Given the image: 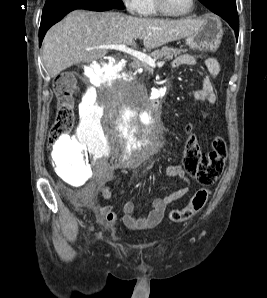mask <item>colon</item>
Returning <instances> with one entry per match:
<instances>
[{
    "mask_svg": "<svg viewBox=\"0 0 267 298\" xmlns=\"http://www.w3.org/2000/svg\"><path fill=\"white\" fill-rule=\"evenodd\" d=\"M54 89L58 100V109L51 128L49 143L52 150H57L66 143L65 138L74 126V94L77 90V79L72 72H63L55 78ZM183 166L186 173L201 187L182 209L170 212L174 222L186 221L198 214L209 197V187L221 175L226 158L227 144L223 137H216L212 149L205 153L201 150L190 125H186V140L183 147Z\"/></svg>",
    "mask_w": 267,
    "mask_h": 298,
    "instance_id": "obj_1",
    "label": "colon"
}]
</instances>
